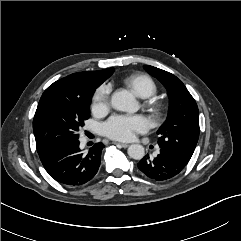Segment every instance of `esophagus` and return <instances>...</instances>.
I'll return each mask as SVG.
<instances>
[{"instance_id": "esophagus-1", "label": "esophagus", "mask_w": 241, "mask_h": 241, "mask_svg": "<svg viewBox=\"0 0 241 241\" xmlns=\"http://www.w3.org/2000/svg\"><path fill=\"white\" fill-rule=\"evenodd\" d=\"M115 144L120 145L123 148H127L129 146V144L127 143H115Z\"/></svg>"}]
</instances>
